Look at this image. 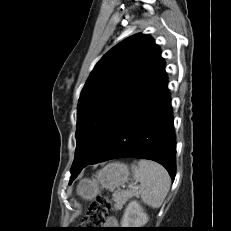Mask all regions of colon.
<instances>
[{
  "mask_svg": "<svg viewBox=\"0 0 231 231\" xmlns=\"http://www.w3.org/2000/svg\"><path fill=\"white\" fill-rule=\"evenodd\" d=\"M112 201L105 195L98 196L91 204L83 223L90 227H98L105 222V216L111 210Z\"/></svg>",
  "mask_w": 231,
  "mask_h": 231,
  "instance_id": "colon-1",
  "label": "colon"
}]
</instances>
